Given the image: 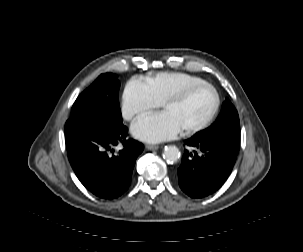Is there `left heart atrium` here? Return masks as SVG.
Masks as SVG:
<instances>
[{
    "mask_svg": "<svg viewBox=\"0 0 303 252\" xmlns=\"http://www.w3.org/2000/svg\"><path fill=\"white\" fill-rule=\"evenodd\" d=\"M135 133L140 139L156 142L176 137L179 127L171 115L156 114L140 120L136 124Z\"/></svg>",
    "mask_w": 303,
    "mask_h": 252,
    "instance_id": "obj_1",
    "label": "left heart atrium"
}]
</instances>
